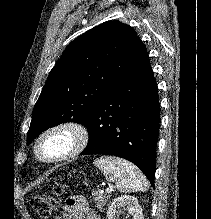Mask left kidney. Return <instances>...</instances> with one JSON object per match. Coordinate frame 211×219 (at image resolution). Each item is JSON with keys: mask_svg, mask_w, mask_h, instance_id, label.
Segmentation results:
<instances>
[{"mask_svg": "<svg viewBox=\"0 0 211 219\" xmlns=\"http://www.w3.org/2000/svg\"><path fill=\"white\" fill-rule=\"evenodd\" d=\"M125 211L132 216V219H143L142 208L138 200L133 196H121L114 199L107 211L108 219H119Z\"/></svg>", "mask_w": 211, "mask_h": 219, "instance_id": "left-kidney-1", "label": "left kidney"}]
</instances>
